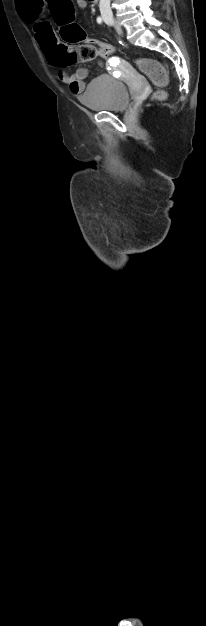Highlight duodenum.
<instances>
[{
    "label": "duodenum",
    "instance_id": "duodenum-1",
    "mask_svg": "<svg viewBox=\"0 0 206 626\" xmlns=\"http://www.w3.org/2000/svg\"><path fill=\"white\" fill-rule=\"evenodd\" d=\"M90 2H92V3H97V2H98V0H90Z\"/></svg>",
    "mask_w": 206,
    "mask_h": 626
}]
</instances>
